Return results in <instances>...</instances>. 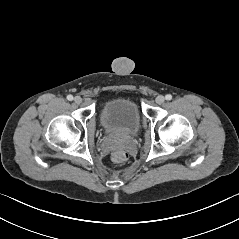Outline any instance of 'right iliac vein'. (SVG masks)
<instances>
[{"label":"right iliac vein","mask_w":239,"mask_h":239,"mask_svg":"<svg viewBox=\"0 0 239 239\" xmlns=\"http://www.w3.org/2000/svg\"><path fill=\"white\" fill-rule=\"evenodd\" d=\"M74 102H75L76 104H80V103L82 102V98H81L80 96H75Z\"/></svg>","instance_id":"1"}]
</instances>
